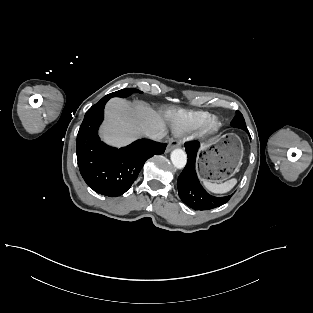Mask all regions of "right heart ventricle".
I'll list each match as a JSON object with an SVG mask.
<instances>
[{"mask_svg":"<svg viewBox=\"0 0 313 313\" xmlns=\"http://www.w3.org/2000/svg\"><path fill=\"white\" fill-rule=\"evenodd\" d=\"M208 118L209 114L204 112L180 113L173 128L178 133H185L200 127Z\"/></svg>","mask_w":313,"mask_h":313,"instance_id":"obj_1","label":"right heart ventricle"}]
</instances>
